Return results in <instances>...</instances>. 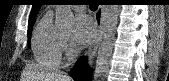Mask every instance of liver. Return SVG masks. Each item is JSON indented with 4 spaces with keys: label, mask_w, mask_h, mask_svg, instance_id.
Returning <instances> with one entry per match:
<instances>
[{
    "label": "liver",
    "mask_w": 169,
    "mask_h": 81,
    "mask_svg": "<svg viewBox=\"0 0 169 81\" xmlns=\"http://www.w3.org/2000/svg\"><path fill=\"white\" fill-rule=\"evenodd\" d=\"M26 76L27 81H71V78L62 72L40 71L33 65L26 66Z\"/></svg>",
    "instance_id": "liver-1"
}]
</instances>
